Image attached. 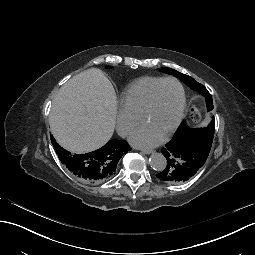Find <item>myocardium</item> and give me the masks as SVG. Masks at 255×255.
<instances>
[{
    "label": "myocardium",
    "instance_id": "obj_1",
    "mask_svg": "<svg viewBox=\"0 0 255 255\" xmlns=\"http://www.w3.org/2000/svg\"><path fill=\"white\" fill-rule=\"evenodd\" d=\"M167 82H173L179 86L180 92H181V104H180V110H179L178 117H177L175 123L173 124V126L171 127V129L169 130V132L163 137L164 141L169 140L173 136V134L180 127V125L183 121V118H184L185 109H186V93H185V89H184L182 83L174 77L163 78L151 89V91L149 93V97L142 109L141 114H140V122H142L143 119L149 114L150 110L153 107L155 96H156V93H157L159 87L162 84L167 83Z\"/></svg>",
    "mask_w": 255,
    "mask_h": 255
}]
</instances>
